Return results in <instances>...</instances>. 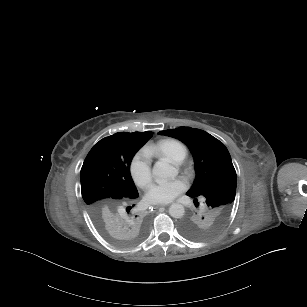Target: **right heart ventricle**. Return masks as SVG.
I'll use <instances>...</instances> for the list:
<instances>
[{"label": "right heart ventricle", "instance_id": "right-heart-ventricle-1", "mask_svg": "<svg viewBox=\"0 0 307 307\" xmlns=\"http://www.w3.org/2000/svg\"><path fill=\"white\" fill-rule=\"evenodd\" d=\"M190 146L178 138H168L164 141L159 154L166 155L173 160L181 161L189 155Z\"/></svg>", "mask_w": 307, "mask_h": 307}]
</instances>
